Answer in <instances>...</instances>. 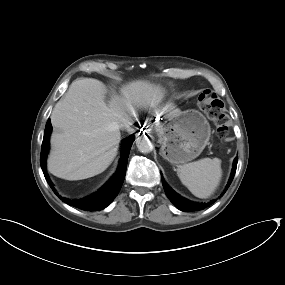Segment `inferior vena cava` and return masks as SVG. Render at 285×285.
<instances>
[{"instance_id":"inferior-vena-cava-1","label":"inferior vena cava","mask_w":285,"mask_h":285,"mask_svg":"<svg viewBox=\"0 0 285 285\" xmlns=\"http://www.w3.org/2000/svg\"><path fill=\"white\" fill-rule=\"evenodd\" d=\"M134 120L131 116L126 117L123 119L122 123H121V127L125 130H127L129 133L133 132V129L131 128V126L133 125Z\"/></svg>"}]
</instances>
